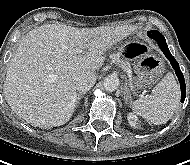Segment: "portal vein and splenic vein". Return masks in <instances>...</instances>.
Here are the masks:
<instances>
[{
  "mask_svg": "<svg viewBox=\"0 0 190 165\" xmlns=\"http://www.w3.org/2000/svg\"><path fill=\"white\" fill-rule=\"evenodd\" d=\"M74 52H75V53H82V52H83V50H82V49L77 48V49H75V50H74Z\"/></svg>",
  "mask_w": 190,
  "mask_h": 165,
  "instance_id": "18ae733b",
  "label": "portal vein and splenic vein"
}]
</instances>
